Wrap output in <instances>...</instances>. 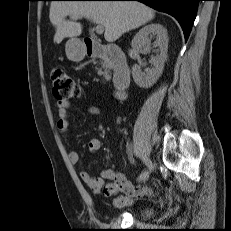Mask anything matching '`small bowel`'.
<instances>
[{
  "label": "small bowel",
  "instance_id": "c3829d8e",
  "mask_svg": "<svg viewBox=\"0 0 231 231\" xmlns=\"http://www.w3.org/2000/svg\"><path fill=\"white\" fill-rule=\"evenodd\" d=\"M57 129L62 134L70 131V105L68 102H58ZM88 113L98 115L100 110L97 107H89ZM102 148V141L99 138H92L88 143V150L95 154ZM68 158L71 164L77 165L80 162V154L77 151H70ZM81 179L95 194H103L114 198V205L124 207L130 205L133 200L143 195H151L152 189L143 185H134L123 173L113 169H103L98 176H92L87 171H80Z\"/></svg>",
  "mask_w": 231,
  "mask_h": 231
}]
</instances>
